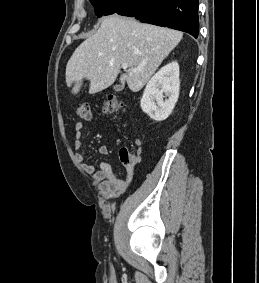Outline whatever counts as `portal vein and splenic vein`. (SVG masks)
<instances>
[{
	"label": "portal vein and splenic vein",
	"instance_id": "obj_1",
	"mask_svg": "<svg viewBox=\"0 0 259 283\" xmlns=\"http://www.w3.org/2000/svg\"><path fill=\"white\" fill-rule=\"evenodd\" d=\"M122 69L127 70L128 69V65L127 64H122ZM129 71L138 72V71H140V69L130 68Z\"/></svg>",
	"mask_w": 259,
	"mask_h": 283
}]
</instances>
